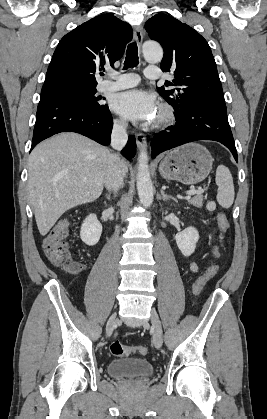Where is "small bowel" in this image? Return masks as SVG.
I'll return each instance as SVG.
<instances>
[{
  "instance_id": "obj_1",
  "label": "small bowel",
  "mask_w": 267,
  "mask_h": 419,
  "mask_svg": "<svg viewBox=\"0 0 267 419\" xmlns=\"http://www.w3.org/2000/svg\"><path fill=\"white\" fill-rule=\"evenodd\" d=\"M212 253H213V255L215 256V257H218L219 256V252H218V248L217 247H213V249H212ZM190 267H191V270L193 271V272H197L198 271V266H197V264L196 263H191V265H190Z\"/></svg>"
}]
</instances>
